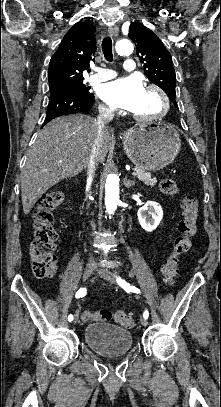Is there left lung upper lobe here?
<instances>
[{
	"mask_svg": "<svg viewBox=\"0 0 221 407\" xmlns=\"http://www.w3.org/2000/svg\"><path fill=\"white\" fill-rule=\"evenodd\" d=\"M129 37L136 44L137 56L144 64L146 77L162 88L173 104L176 103V75L169 51L162 41L147 27L131 25Z\"/></svg>",
	"mask_w": 221,
	"mask_h": 407,
	"instance_id": "1",
	"label": "left lung upper lobe"
}]
</instances>
